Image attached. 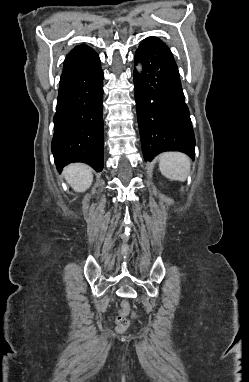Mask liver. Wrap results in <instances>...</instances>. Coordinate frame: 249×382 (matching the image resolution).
I'll return each mask as SVG.
<instances>
[{
    "mask_svg": "<svg viewBox=\"0 0 249 382\" xmlns=\"http://www.w3.org/2000/svg\"><path fill=\"white\" fill-rule=\"evenodd\" d=\"M64 177L76 192L86 191L93 181L92 169L82 163L70 164L65 167Z\"/></svg>",
    "mask_w": 249,
    "mask_h": 382,
    "instance_id": "6515ba94",
    "label": "liver"
}]
</instances>
